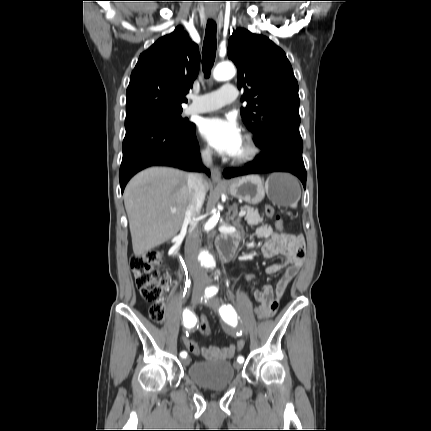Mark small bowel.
I'll list each match as a JSON object with an SVG mask.
<instances>
[{
	"label": "small bowel",
	"mask_w": 431,
	"mask_h": 431,
	"mask_svg": "<svg viewBox=\"0 0 431 431\" xmlns=\"http://www.w3.org/2000/svg\"><path fill=\"white\" fill-rule=\"evenodd\" d=\"M257 237L267 239L263 246V256L273 258L277 255L284 257L283 262L267 267L268 274H276L284 270L283 275L278 280L275 287L262 283L259 289L251 291L252 297L258 302V310L261 312V319L272 316L278 309L279 302L291 280L296 276L305 259V248L300 236L289 233L276 232L270 225H262L256 230ZM245 281H257L252 274L244 277ZM200 311L205 312L203 309ZM206 313V312H205ZM196 348L201 349V354L196 355L205 360H226L237 352V344L228 347L209 346L204 347L196 344Z\"/></svg>",
	"instance_id": "obj_1"
}]
</instances>
